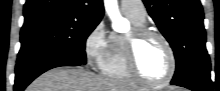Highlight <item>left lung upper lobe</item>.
<instances>
[{"label":"left lung upper lobe","mask_w":220,"mask_h":91,"mask_svg":"<svg viewBox=\"0 0 220 91\" xmlns=\"http://www.w3.org/2000/svg\"><path fill=\"white\" fill-rule=\"evenodd\" d=\"M143 2L174 51L176 71L171 82H179L201 71L210 72L200 0H143Z\"/></svg>","instance_id":"5c2ea615"}]
</instances>
